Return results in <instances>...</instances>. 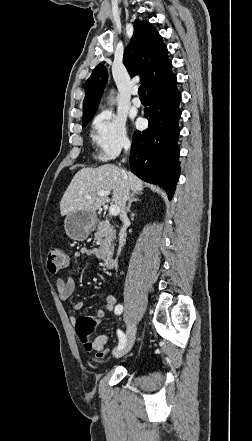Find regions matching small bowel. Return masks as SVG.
<instances>
[{"mask_svg":"<svg viewBox=\"0 0 252 441\" xmlns=\"http://www.w3.org/2000/svg\"><path fill=\"white\" fill-rule=\"evenodd\" d=\"M98 252L94 248H82L79 251L75 252L73 255L74 259H78L81 256H97ZM56 288L58 292V296L61 300L68 299L75 290V282L74 279L70 276L67 278L58 277L56 279ZM117 303V297L114 290H111L105 297L104 307L103 309L97 312L98 315H104L107 311H115V307ZM83 302L77 301L72 305V310L78 311L82 308ZM109 337L107 335H100L93 339L92 346L95 351H102L107 344Z\"/></svg>","mask_w":252,"mask_h":441,"instance_id":"small-bowel-1","label":"small bowel"}]
</instances>
